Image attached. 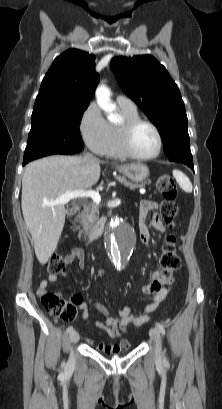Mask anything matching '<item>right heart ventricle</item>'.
Segmentation results:
<instances>
[{
	"label": "right heart ventricle",
	"instance_id": "right-heart-ventricle-1",
	"mask_svg": "<svg viewBox=\"0 0 222 409\" xmlns=\"http://www.w3.org/2000/svg\"><path fill=\"white\" fill-rule=\"evenodd\" d=\"M119 110L124 118V120H131L135 118H139V113L137 109H129V108H124L119 106ZM119 126L120 125H114V124H109V130H110V140L108 145L103 151V155L109 156V157H114V158H121L125 157L126 155L123 153L120 144H119Z\"/></svg>",
	"mask_w": 222,
	"mask_h": 409
}]
</instances>
